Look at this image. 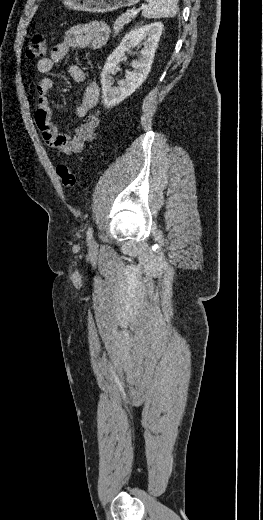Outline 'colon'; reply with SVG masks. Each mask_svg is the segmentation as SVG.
I'll return each mask as SVG.
<instances>
[{"label":"colon","mask_w":263,"mask_h":520,"mask_svg":"<svg viewBox=\"0 0 263 520\" xmlns=\"http://www.w3.org/2000/svg\"><path fill=\"white\" fill-rule=\"evenodd\" d=\"M45 53L46 42L44 36L42 34L34 35L29 42V47L27 51L28 58H42L45 55ZM56 173L64 186L72 188L77 185L75 174L67 165H58L56 168Z\"/></svg>","instance_id":"1"}]
</instances>
